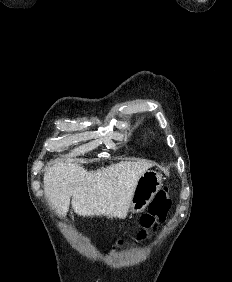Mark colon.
<instances>
[{
    "instance_id": "5ec220e1",
    "label": "colon",
    "mask_w": 232,
    "mask_h": 282,
    "mask_svg": "<svg viewBox=\"0 0 232 282\" xmlns=\"http://www.w3.org/2000/svg\"><path fill=\"white\" fill-rule=\"evenodd\" d=\"M171 202V194L168 188H164L157 192L149 205L148 213L142 216V229L137 234L138 240L145 239L147 237V232L150 229L156 228L158 222L165 221L171 207ZM125 243V241H121L120 245H124Z\"/></svg>"
}]
</instances>
